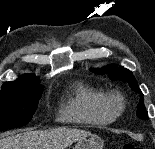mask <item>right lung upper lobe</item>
Returning <instances> with one entry per match:
<instances>
[{"label": "right lung upper lobe", "instance_id": "obj_1", "mask_svg": "<svg viewBox=\"0 0 155 149\" xmlns=\"http://www.w3.org/2000/svg\"><path fill=\"white\" fill-rule=\"evenodd\" d=\"M39 80L36 76L30 74H24L20 79H17L13 82H28V81H36Z\"/></svg>", "mask_w": 155, "mask_h": 149}]
</instances>
